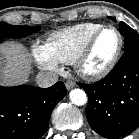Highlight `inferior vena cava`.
Listing matches in <instances>:
<instances>
[{
	"label": "inferior vena cava",
	"mask_w": 139,
	"mask_h": 139,
	"mask_svg": "<svg viewBox=\"0 0 139 139\" xmlns=\"http://www.w3.org/2000/svg\"><path fill=\"white\" fill-rule=\"evenodd\" d=\"M58 81V75L53 72L41 71L36 76V83L39 87L47 88Z\"/></svg>",
	"instance_id": "obj_1"
}]
</instances>
